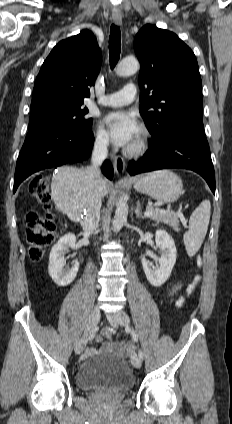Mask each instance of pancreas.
Returning <instances> with one entry per match:
<instances>
[{"label":"pancreas","mask_w":232,"mask_h":424,"mask_svg":"<svg viewBox=\"0 0 232 424\" xmlns=\"http://www.w3.org/2000/svg\"><path fill=\"white\" fill-rule=\"evenodd\" d=\"M147 210L153 212V215L150 216V219L156 221L157 223H165L172 227L175 231H179V214L172 211H165V213H160V209L148 206Z\"/></svg>","instance_id":"cf45deb5"}]
</instances>
